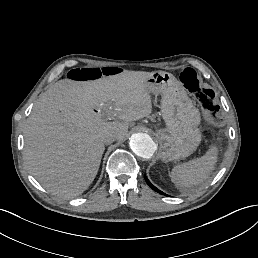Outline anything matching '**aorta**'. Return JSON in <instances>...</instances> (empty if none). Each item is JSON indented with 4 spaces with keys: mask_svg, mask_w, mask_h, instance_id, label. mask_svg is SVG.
<instances>
[{
    "mask_svg": "<svg viewBox=\"0 0 258 258\" xmlns=\"http://www.w3.org/2000/svg\"><path fill=\"white\" fill-rule=\"evenodd\" d=\"M131 150L144 159H150L157 150V145L146 133L133 134L129 142Z\"/></svg>",
    "mask_w": 258,
    "mask_h": 258,
    "instance_id": "1",
    "label": "aorta"
}]
</instances>
